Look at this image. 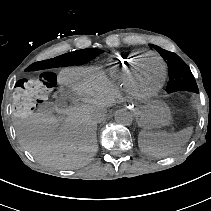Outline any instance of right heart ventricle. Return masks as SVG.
<instances>
[{
  "instance_id": "1",
  "label": "right heart ventricle",
  "mask_w": 211,
  "mask_h": 211,
  "mask_svg": "<svg viewBox=\"0 0 211 211\" xmlns=\"http://www.w3.org/2000/svg\"><path fill=\"white\" fill-rule=\"evenodd\" d=\"M150 56V51L143 49L115 55L109 62V73L112 77L116 78L117 81L122 82L130 93H133L131 74L135 72L139 61L148 59Z\"/></svg>"
}]
</instances>
